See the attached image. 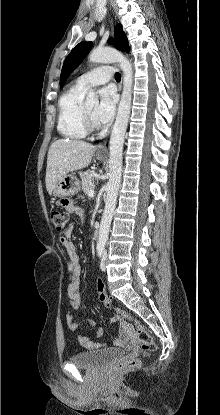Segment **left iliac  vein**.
<instances>
[{
    "mask_svg": "<svg viewBox=\"0 0 220 415\" xmlns=\"http://www.w3.org/2000/svg\"><path fill=\"white\" fill-rule=\"evenodd\" d=\"M107 251L105 250L101 259L100 268L102 271L106 269V261H107Z\"/></svg>",
    "mask_w": 220,
    "mask_h": 415,
    "instance_id": "obj_1",
    "label": "left iliac vein"
}]
</instances>
